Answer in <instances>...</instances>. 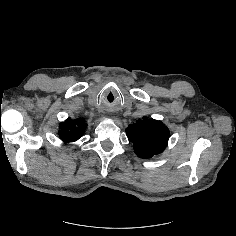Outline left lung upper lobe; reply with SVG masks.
Returning a JSON list of instances; mask_svg holds the SVG:
<instances>
[{
  "label": "left lung upper lobe",
  "mask_w": 236,
  "mask_h": 236,
  "mask_svg": "<svg viewBox=\"0 0 236 236\" xmlns=\"http://www.w3.org/2000/svg\"><path fill=\"white\" fill-rule=\"evenodd\" d=\"M126 134L133 143L135 153L142 158L163 152L169 138V130L161 121L147 117L129 125Z\"/></svg>",
  "instance_id": "obj_1"
}]
</instances>
